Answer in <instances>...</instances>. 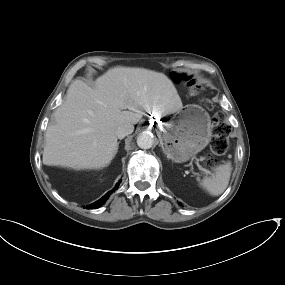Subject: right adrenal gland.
<instances>
[{"mask_svg":"<svg viewBox=\"0 0 285 285\" xmlns=\"http://www.w3.org/2000/svg\"><path fill=\"white\" fill-rule=\"evenodd\" d=\"M119 143L120 142L117 143L116 153L118 152Z\"/></svg>","mask_w":285,"mask_h":285,"instance_id":"1","label":"right adrenal gland"}]
</instances>
